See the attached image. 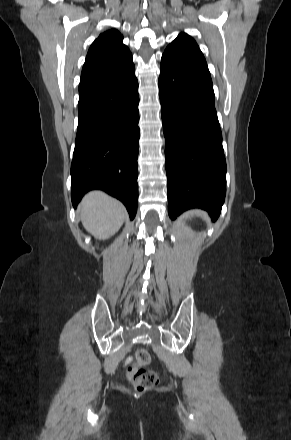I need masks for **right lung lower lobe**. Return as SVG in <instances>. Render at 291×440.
<instances>
[{
    "instance_id": "98d812e1",
    "label": "right lung lower lobe",
    "mask_w": 291,
    "mask_h": 440,
    "mask_svg": "<svg viewBox=\"0 0 291 440\" xmlns=\"http://www.w3.org/2000/svg\"><path fill=\"white\" fill-rule=\"evenodd\" d=\"M139 94L135 66L116 76L81 81L78 128L71 164V198L76 207L93 189L126 206L138 204Z\"/></svg>"
}]
</instances>
